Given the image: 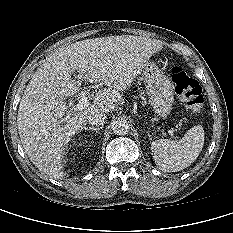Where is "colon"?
Listing matches in <instances>:
<instances>
[{
  "instance_id": "colon-1",
  "label": "colon",
  "mask_w": 233,
  "mask_h": 233,
  "mask_svg": "<svg viewBox=\"0 0 233 233\" xmlns=\"http://www.w3.org/2000/svg\"><path fill=\"white\" fill-rule=\"evenodd\" d=\"M171 79L179 97L193 113H200L204 106V97L199 83L191 78L180 66L171 69Z\"/></svg>"
}]
</instances>
